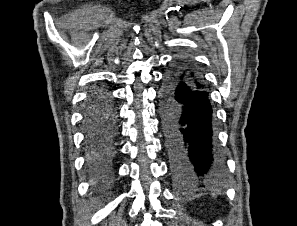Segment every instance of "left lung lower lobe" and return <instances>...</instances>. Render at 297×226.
<instances>
[{
	"mask_svg": "<svg viewBox=\"0 0 297 226\" xmlns=\"http://www.w3.org/2000/svg\"><path fill=\"white\" fill-rule=\"evenodd\" d=\"M180 65L174 64L165 75L160 114L174 179L201 187L221 179L222 160L208 92L181 75Z\"/></svg>",
	"mask_w": 297,
	"mask_h": 226,
	"instance_id": "0a47b994",
	"label": "left lung lower lobe"
}]
</instances>
